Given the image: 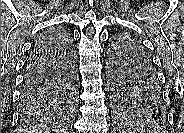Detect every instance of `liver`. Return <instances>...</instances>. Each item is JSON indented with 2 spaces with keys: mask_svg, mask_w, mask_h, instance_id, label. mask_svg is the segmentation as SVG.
I'll return each mask as SVG.
<instances>
[{
  "mask_svg": "<svg viewBox=\"0 0 184 133\" xmlns=\"http://www.w3.org/2000/svg\"><path fill=\"white\" fill-rule=\"evenodd\" d=\"M52 132H55L56 129L54 128H49L47 127L46 125H37L35 126L33 129H32V132L34 133H51Z\"/></svg>",
  "mask_w": 184,
  "mask_h": 133,
  "instance_id": "1",
  "label": "liver"
}]
</instances>
